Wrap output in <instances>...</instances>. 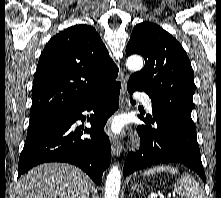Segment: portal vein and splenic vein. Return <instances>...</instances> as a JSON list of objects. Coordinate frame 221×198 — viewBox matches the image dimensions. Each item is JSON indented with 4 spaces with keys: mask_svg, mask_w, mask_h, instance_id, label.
Segmentation results:
<instances>
[{
    "mask_svg": "<svg viewBox=\"0 0 221 198\" xmlns=\"http://www.w3.org/2000/svg\"><path fill=\"white\" fill-rule=\"evenodd\" d=\"M169 197H171V196H169ZM173 197H175V196H173ZM161 198H165V197L162 196Z\"/></svg>",
    "mask_w": 221,
    "mask_h": 198,
    "instance_id": "18ae733b",
    "label": "portal vein and splenic vein"
}]
</instances>
